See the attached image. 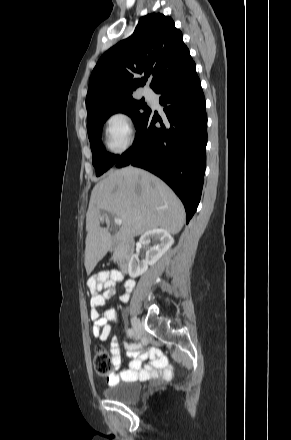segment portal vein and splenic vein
<instances>
[{"label": "portal vein and splenic vein", "mask_w": 291, "mask_h": 440, "mask_svg": "<svg viewBox=\"0 0 291 440\" xmlns=\"http://www.w3.org/2000/svg\"><path fill=\"white\" fill-rule=\"evenodd\" d=\"M114 222H115V224H117V225H122V220L119 219V218L114 217Z\"/></svg>", "instance_id": "1"}]
</instances>
